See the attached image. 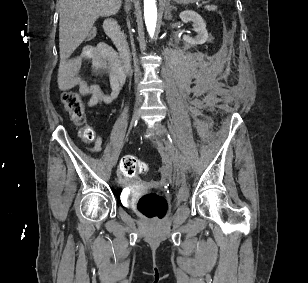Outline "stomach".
I'll list each match as a JSON object with an SVG mask.
<instances>
[{"instance_id":"0dacf381","label":"stomach","mask_w":308,"mask_h":283,"mask_svg":"<svg viewBox=\"0 0 308 283\" xmlns=\"http://www.w3.org/2000/svg\"><path fill=\"white\" fill-rule=\"evenodd\" d=\"M175 1L180 4H189V3L196 2L197 0H175Z\"/></svg>"}]
</instances>
